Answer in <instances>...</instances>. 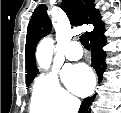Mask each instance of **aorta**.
<instances>
[{"instance_id": "aorta-1", "label": "aorta", "mask_w": 121, "mask_h": 113, "mask_svg": "<svg viewBox=\"0 0 121 113\" xmlns=\"http://www.w3.org/2000/svg\"><path fill=\"white\" fill-rule=\"evenodd\" d=\"M54 49V41L50 37H46L41 40L36 50V59L39 66L43 69H48Z\"/></svg>"}]
</instances>
